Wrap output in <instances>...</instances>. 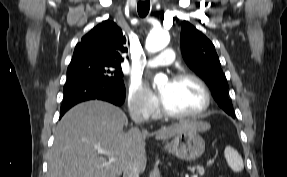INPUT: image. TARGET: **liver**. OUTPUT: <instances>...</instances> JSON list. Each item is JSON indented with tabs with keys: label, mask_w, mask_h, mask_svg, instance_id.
I'll return each mask as SVG.
<instances>
[{
	"label": "liver",
	"mask_w": 287,
	"mask_h": 177,
	"mask_svg": "<svg viewBox=\"0 0 287 177\" xmlns=\"http://www.w3.org/2000/svg\"><path fill=\"white\" fill-rule=\"evenodd\" d=\"M127 123L120 108L103 101H88L70 109L54 130L47 177H119L130 161L144 172L147 135L138 128L124 132ZM188 129L207 131L210 124L180 121L160 129L155 138L166 140ZM98 148L112 153L116 161H107Z\"/></svg>",
	"instance_id": "obj_1"
}]
</instances>
